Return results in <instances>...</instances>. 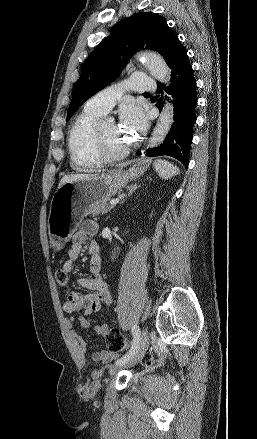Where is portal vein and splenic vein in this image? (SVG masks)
I'll return each mask as SVG.
<instances>
[{
	"instance_id": "portal-vein-and-splenic-vein-1",
	"label": "portal vein and splenic vein",
	"mask_w": 257,
	"mask_h": 439,
	"mask_svg": "<svg viewBox=\"0 0 257 439\" xmlns=\"http://www.w3.org/2000/svg\"><path fill=\"white\" fill-rule=\"evenodd\" d=\"M119 202V199H112L111 201H110V204L111 205H115V204H117Z\"/></svg>"
}]
</instances>
